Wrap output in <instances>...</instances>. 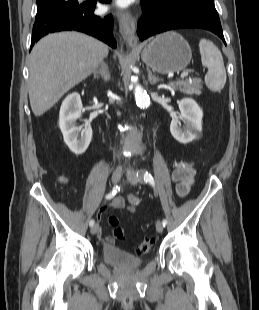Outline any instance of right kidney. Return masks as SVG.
I'll return each instance as SVG.
<instances>
[{"label": "right kidney", "instance_id": "obj_1", "mask_svg": "<svg viewBox=\"0 0 259 310\" xmlns=\"http://www.w3.org/2000/svg\"><path fill=\"white\" fill-rule=\"evenodd\" d=\"M82 108L80 95L75 92L64 99L59 114V127L64 142L76 155H81L87 150L92 138V128L87 123L82 129L81 137L78 138L81 127L76 126V120L81 117Z\"/></svg>", "mask_w": 259, "mask_h": 310}]
</instances>
